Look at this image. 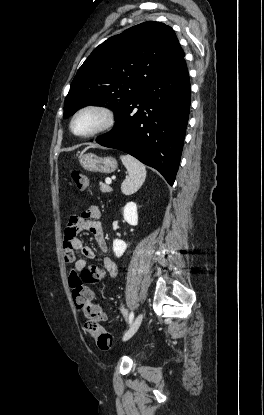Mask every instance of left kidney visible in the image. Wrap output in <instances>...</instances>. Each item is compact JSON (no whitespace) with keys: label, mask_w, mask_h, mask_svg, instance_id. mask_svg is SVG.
<instances>
[{"label":"left kidney","mask_w":264,"mask_h":415,"mask_svg":"<svg viewBox=\"0 0 264 415\" xmlns=\"http://www.w3.org/2000/svg\"><path fill=\"white\" fill-rule=\"evenodd\" d=\"M124 220L132 225L136 226L138 224V212L137 205L134 202H128L123 210ZM127 244L123 240L115 239L113 241V251L116 257H121L127 248Z\"/></svg>","instance_id":"obj_1"}]
</instances>
